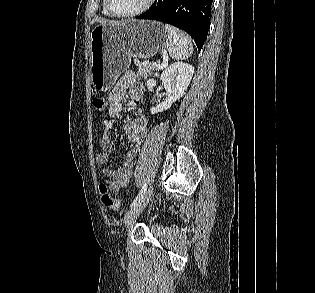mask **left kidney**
Listing matches in <instances>:
<instances>
[{"label": "left kidney", "instance_id": "obj_1", "mask_svg": "<svg viewBox=\"0 0 315 293\" xmlns=\"http://www.w3.org/2000/svg\"><path fill=\"white\" fill-rule=\"evenodd\" d=\"M193 73L192 65L184 62H176L165 69L160 79L170 97L156 107H151V114L168 110L173 102L179 100L189 86Z\"/></svg>", "mask_w": 315, "mask_h": 293}]
</instances>
